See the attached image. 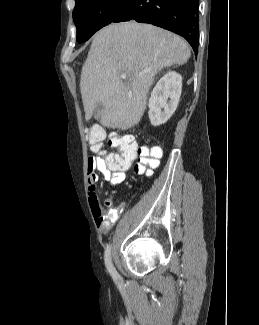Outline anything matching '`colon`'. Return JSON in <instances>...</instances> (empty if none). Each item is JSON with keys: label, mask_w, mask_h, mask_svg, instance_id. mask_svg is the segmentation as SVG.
<instances>
[{"label": "colon", "mask_w": 259, "mask_h": 325, "mask_svg": "<svg viewBox=\"0 0 259 325\" xmlns=\"http://www.w3.org/2000/svg\"><path fill=\"white\" fill-rule=\"evenodd\" d=\"M85 134L92 150L99 151L105 140V133L100 128L90 127L85 130ZM108 140L109 144L117 150L118 166L121 168L129 166L137 156L139 162L135 165V172L138 174L151 175L152 170L159 165L161 149L146 145L138 146L132 137L119 134L110 135Z\"/></svg>", "instance_id": "1"}]
</instances>
